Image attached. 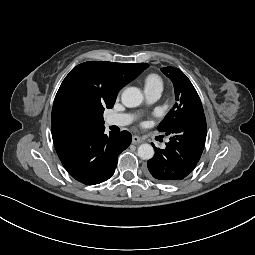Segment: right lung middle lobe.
<instances>
[{
  "mask_svg": "<svg viewBox=\"0 0 255 255\" xmlns=\"http://www.w3.org/2000/svg\"><path fill=\"white\" fill-rule=\"evenodd\" d=\"M68 105L72 110L79 114L84 112L89 107L88 102L80 96H71L68 99Z\"/></svg>",
  "mask_w": 255,
  "mask_h": 255,
  "instance_id": "1",
  "label": "right lung middle lobe"
}]
</instances>
